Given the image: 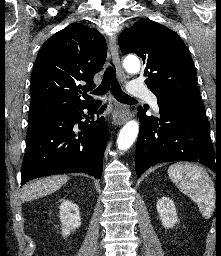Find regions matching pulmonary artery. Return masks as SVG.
Segmentation results:
<instances>
[{"label":"pulmonary artery","instance_id":"obj_1","mask_svg":"<svg viewBox=\"0 0 221 256\" xmlns=\"http://www.w3.org/2000/svg\"><path fill=\"white\" fill-rule=\"evenodd\" d=\"M128 90L133 96L146 98L155 110H159L157 97L143 83L132 81L129 84Z\"/></svg>","mask_w":221,"mask_h":256}]
</instances>
